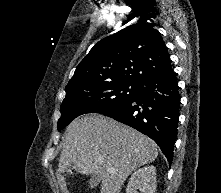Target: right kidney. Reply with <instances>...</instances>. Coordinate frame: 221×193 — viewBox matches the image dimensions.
<instances>
[{
	"label": "right kidney",
	"mask_w": 221,
	"mask_h": 193,
	"mask_svg": "<svg viewBox=\"0 0 221 193\" xmlns=\"http://www.w3.org/2000/svg\"><path fill=\"white\" fill-rule=\"evenodd\" d=\"M156 168L146 166L135 171L126 188V193H155L156 191Z\"/></svg>",
	"instance_id": "ca27d5eb"
}]
</instances>
